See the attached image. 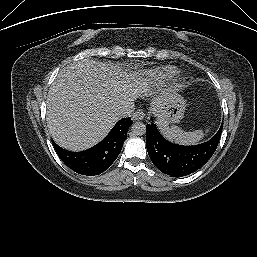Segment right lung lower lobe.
Here are the masks:
<instances>
[{"mask_svg":"<svg viewBox=\"0 0 257 257\" xmlns=\"http://www.w3.org/2000/svg\"><path fill=\"white\" fill-rule=\"evenodd\" d=\"M131 124L130 118L119 120L100 143L85 151H67L54 141L53 145L61 160L76 173L98 175L108 169L118 157Z\"/></svg>","mask_w":257,"mask_h":257,"instance_id":"right-lung-lower-lobe-1","label":"right lung lower lobe"}]
</instances>
